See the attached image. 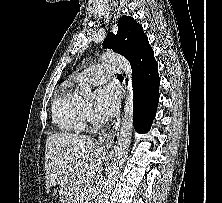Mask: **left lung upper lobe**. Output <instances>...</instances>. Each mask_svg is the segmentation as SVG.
Segmentation results:
<instances>
[{
    "label": "left lung upper lobe",
    "mask_w": 222,
    "mask_h": 203,
    "mask_svg": "<svg viewBox=\"0 0 222 203\" xmlns=\"http://www.w3.org/2000/svg\"><path fill=\"white\" fill-rule=\"evenodd\" d=\"M147 39L140 24L132 17L122 16L118 21L117 34L109 32L103 47L125 56L131 64Z\"/></svg>",
    "instance_id": "left-lung-upper-lobe-1"
}]
</instances>
